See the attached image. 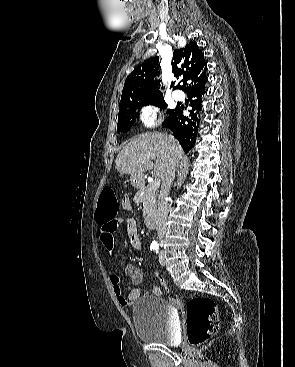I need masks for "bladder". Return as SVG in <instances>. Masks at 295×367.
Returning a JSON list of instances; mask_svg holds the SVG:
<instances>
[{
    "label": "bladder",
    "mask_w": 295,
    "mask_h": 367,
    "mask_svg": "<svg viewBox=\"0 0 295 367\" xmlns=\"http://www.w3.org/2000/svg\"><path fill=\"white\" fill-rule=\"evenodd\" d=\"M133 322L142 341L172 345L177 339L175 311L166 299L152 295L140 297L133 307Z\"/></svg>",
    "instance_id": "bladder-1"
}]
</instances>
